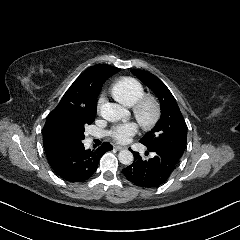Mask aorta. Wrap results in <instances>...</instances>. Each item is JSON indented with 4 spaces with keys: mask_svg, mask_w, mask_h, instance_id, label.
I'll list each match as a JSON object with an SVG mask.
<instances>
[{
    "mask_svg": "<svg viewBox=\"0 0 240 240\" xmlns=\"http://www.w3.org/2000/svg\"><path fill=\"white\" fill-rule=\"evenodd\" d=\"M100 116L108 122H117L126 110L116 103H103L99 108ZM118 159L122 164L130 165L133 161V154L128 149H122L118 153Z\"/></svg>",
    "mask_w": 240,
    "mask_h": 240,
    "instance_id": "obj_1",
    "label": "aorta"
}]
</instances>
